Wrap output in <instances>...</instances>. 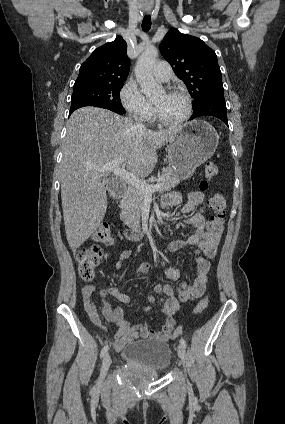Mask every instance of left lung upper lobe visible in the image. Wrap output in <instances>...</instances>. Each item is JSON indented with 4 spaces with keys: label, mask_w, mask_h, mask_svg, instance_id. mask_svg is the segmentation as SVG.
<instances>
[{
    "label": "left lung upper lobe",
    "mask_w": 285,
    "mask_h": 424,
    "mask_svg": "<svg viewBox=\"0 0 285 424\" xmlns=\"http://www.w3.org/2000/svg\"><path fill=\"white\" fill-rule=\"evenodd\" d=\"M160 52L171 64L193 97V108L204 99L224 94L215 52L201 39L172 28L161 42Z\"/></svg>",
    "instance_id": "obj_1"
}]
</instances>
